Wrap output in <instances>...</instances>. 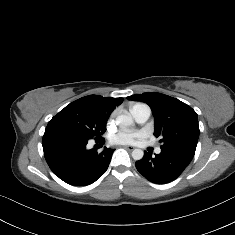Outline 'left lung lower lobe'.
<instances>
[{
  "label": "left lung lower lobe",
  "instance_id": "1",
  "mask_svg": "<svg viewBox=\"0 0 235 235\" xmlns=\"http://www.w3.org/2000/svg\"><path fill=\"white\" fill-rule=\"evenodd\" d=\"M193 156L179 149L161 147V153L155 156L145 152L144 157L136 162V168L150 182L163 184L176 179Z\"/></svg>",
  "mask_w": 235,
  "mask_h": 235
}]
</instances>
